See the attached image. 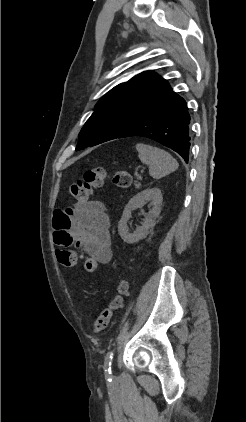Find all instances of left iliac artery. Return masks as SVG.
Segmentation results:
<instances>
[{"instance_id":"obj_1","label":"left iliac artery","mask_w":246,"mask_h":422,"mask_svg":"<svg viewBox=\"0 0 246 422\" xmlns=\"http://www.w3.org/2000/svg\"><path fill=\"white\" fill-rule=\"evenodd\" d=\"M112 359H113V351H110L106 354L105 362H104V370L109 382L112 381V377H111Z\"/></svg>"}]
</instances>
